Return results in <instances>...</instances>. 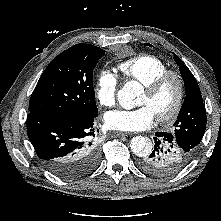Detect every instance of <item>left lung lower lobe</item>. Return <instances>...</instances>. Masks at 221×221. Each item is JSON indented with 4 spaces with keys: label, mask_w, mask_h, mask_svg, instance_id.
Returning a JSON list of instances; mask_svg holds the SVG:
<instances>
[{
    "label": "left lung lower lobe",
    "mask_w": 221,
    "mask_h": 221,
    "mask_svg": "<svg viewBox=\"0 0 221 221\" xmlns=\"http://www.w3.org/2000/svg\"><path fill=\"white\" fill-rule=\"evenodd\" d=\"M154 142L152 151L140 157L138 162L139 168L148 174L171 176L185 168L194 156L173 133L157 132Z\"/></svg>",
    "instance_id": "0a47b994"
}]
</instances>
